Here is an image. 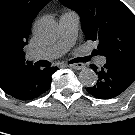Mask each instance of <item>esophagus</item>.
Returning a JSON list of instances; mask_svg holds the SVG:
<instances>
[{
	"label": "esophagus",
	"instance_id": "esophagus-1",
	"mask_svg": "<svg viewBox=\"0 0 135 135\" xmlns=\"http://www.w3.org/2000/svg\"><path fill=\"white\" fill-rule=\"evenodd\" d=\"M69 67L76 69V70H81L85 68V65L83 63H78V64H69Z\"/></svg>",
	"mask_w": 135,
	"mask_h": 135
}]
</instances>
